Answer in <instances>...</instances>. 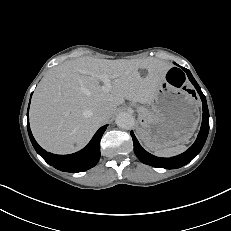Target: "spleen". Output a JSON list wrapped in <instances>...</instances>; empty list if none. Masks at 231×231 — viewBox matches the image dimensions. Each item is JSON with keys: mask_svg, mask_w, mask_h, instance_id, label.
I'll use <instances>...</instances> for the list:
<instances>
[{"mask_svg": "<svg viewBox=\"0 0 231 231\" xmlns=\"http://www.w3.org/2000/svg\"><path fill=\"white\" fill-rule=\"evenodd\" d=\"M186 149L187 147L184 144H181L174 147L155 150L154 154L159 157H171L184 152Z\"/></svg>", "mask_w": 231, "mask_h": 231, "instance_id": "3e777b00", "label": "spleen"}]
</instances>
